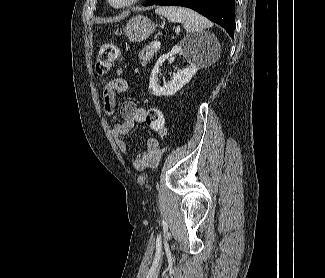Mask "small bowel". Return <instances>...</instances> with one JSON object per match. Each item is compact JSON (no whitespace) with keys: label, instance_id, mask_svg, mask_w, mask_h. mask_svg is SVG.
<instances>
[{"label":"small bowel","instance_id":"small-bowel-1","mask_svg":"<svg viewBox=\"0 0 325 278\" xmlns=\"http://www.w3.org/2000/svg\"><path fill=\"white\" fill-rule=\"evenodd\" d=\"M121 74L122 71H119L118 76L108 80L103 87V109L104 113L109 117L116 110V95L118 93H124L128 89V82ZM146 113L145 108L138 106L133 101L128 100L122 104L120 109L121 120L113 126L112 133L120 139L119 147L123 152H126L128 145L121 138L130 132L134 124L144 123ZM167 151V148H160L156 139L149 138L147 140L146 151L136 156L134 166L140 171L147 168H156Z\"/></svg>","mask_w":325,"mask_h":278}]
</instances>
